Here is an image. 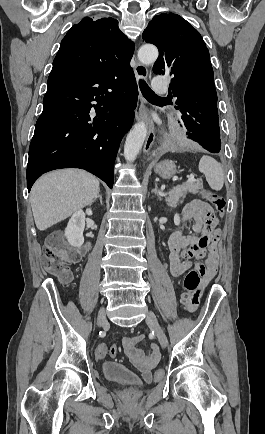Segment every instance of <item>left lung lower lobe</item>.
Segmentation results:
<instances>
[{"label": "left lung lower lobe", "mask_w": 265, "mask_h": 434, "mask_svg": "<svg viewBox=\"0 0 265 434\" xmlns=\"http://www.w3.org/2000/svg\"><path fill=\"white\" fill-rule=\"evenodd\" d=\"M188 138L198 143L202 148L211 152L218 153L221 150L220 130L209 129H187Z\"/></svg>", "instance_id": "0a47b994"}]
</instances>
